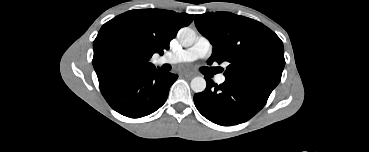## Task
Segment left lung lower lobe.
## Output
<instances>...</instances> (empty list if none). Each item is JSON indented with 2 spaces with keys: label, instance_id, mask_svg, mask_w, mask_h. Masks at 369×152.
<instances>
[{
  "label": "left lung lower lobe",
  "instance_id": "1",
  "mask_svg": "<svg viewBox=\"0 0 369 152\" xmlns=\"http://www.w3.org/2000/svg\"><path fill=\"white\" fill-rule=\"evenodd\" d=\"M206 89L194 95L198 111L208 120L222 126L246 122L259 112L272 90L247 82L225 80L217 85L209 79Z\"/></svg>",
  "mask_w": 369,
  "mask_h": 152
}]
</instances>
